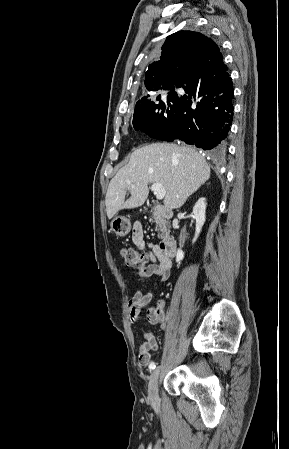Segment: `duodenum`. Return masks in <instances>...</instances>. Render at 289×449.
<instances>
[{
    "mask_svg": "<svg viewBox=\"0 0 289 449\" xmlns=\"http://www.w3.org/2000/svg\"><path fill=\"white\" fill-rule=\"evenodd\" d=\"M150 213L159 215L165 219H170L173 215L172 211L169 208L163 206H153L150 209ZM176 247V240L171 235L164 236L159 244V250L161 254L167 258H171L174 256Z\"/></svg>",
    "mask_w": 289,
    "mask_h": 449,
    "instance_id": "duodenum-1",
    "label": "duodenum"
}]
</instances>
